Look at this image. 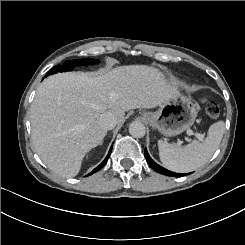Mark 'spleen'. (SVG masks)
Masks as SVG:
<instances>
[{
	"instance_id": "spleen-1",
	"label": "spleen",
	"mask_w": 245,
	"mask_h": 245,
	"mask_svg": "<svg viewBox=\"0 0 245 245\" xmlns=\"http://www.w3.org/2000/svg\"><path fill=\"white\" fill-rule=\"evenodd\" d=\"M225 124L223 121L212 124L208 130V136L204 142L193 140L191 143L180 144L158 141L160 160L166 168L174 172L187 173L205 165L218 149Z\"/></svg>"
}]
</instances>
